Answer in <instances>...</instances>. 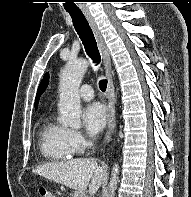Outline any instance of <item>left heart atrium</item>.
Wrapping results in <instances>:
<instances>
[{"label":"left heart atrium","instance_id":"left-heart-atrium-1","mask_svg":"<svg viewBox=\"0 0 191 197\" xmlns=\"http://www.w3.org/2000/svg\"><path fill=\"white\" fill-rule=\"evenodd\" d=\"M85 128L90 134L99 133L106 125L107 113L100 103H92L85 107L82 112Z\"/></svg>","mask_w":191,"mask_h":197}]
</instances>
